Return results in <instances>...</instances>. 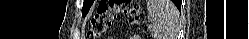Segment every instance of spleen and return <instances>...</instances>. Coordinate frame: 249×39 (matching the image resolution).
Returning a JSON list of instances; mask_svg holds the SVG:
<instances>
[{
	"mask_svg": "<svg viewBox=\"0 0 249 39\" xmlns=\"http://www.w3.org/2000/svg\"><path fill=\"white\" fill-rule=\"evenodd\" d=\"M147 10L152 36L168 39L172 32V20L178 16L177 10L170 6L169 0H148Z\"/></svg>",
	"mask_w": 249,
	"mask_h": 39,
	"instance_id": "obj_1",
	"label": "spleen"
}]
</instances>
